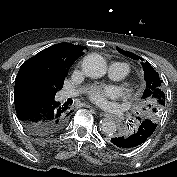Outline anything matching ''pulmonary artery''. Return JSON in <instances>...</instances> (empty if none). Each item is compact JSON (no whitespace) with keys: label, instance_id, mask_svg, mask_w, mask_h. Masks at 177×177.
Listing matches in <instances>:
<instances>
[{"label":"pulmonary artery","instance_id":"e3ab8cb5","mask_svg":"<svg viewBox=\"0 0 177 177\" xmlns=\"http://www.w3.org/2000/svg\"><path fill=\"white\" fill-rule=\"evenodd\" d=\"M128 74H129V68L126 64L122 62H114L109 67L108 77L110 80L119 81L125 78ZM78 93L79 90H75V89L64 90L61 93V99H67L76 96Z\"/></svg>","mask_w":177,"mask_h":177}]
</instances>
